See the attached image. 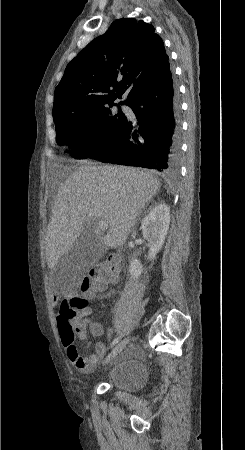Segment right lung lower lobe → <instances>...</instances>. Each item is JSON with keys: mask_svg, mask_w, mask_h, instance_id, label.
I'll use <instances>...</instances> for the list:
<instances>
[{"mask_svg": "<svg viewBox=\"0 0 245 450\" xmlns=\"http://www.w3.org/2000/svg\"><path fill=\"white\" fill-rule=\"evenodd\" d=\"M127 105L137 123L126 118L116 140L89 157L176 174L180 165V106L170 69L139 90Z\"/></svg>", "mask_w": 245, "mask_h": 450, "instance_id": "1", "label": "right lung lower lobe"}]
</instances>
